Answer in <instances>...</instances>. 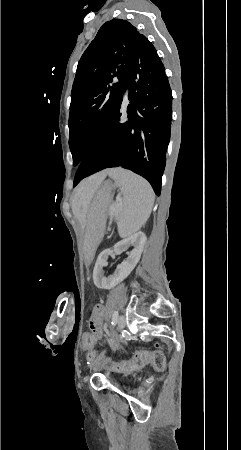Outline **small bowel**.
I'll return each mask as SVG.
<instances>
[{
	"label": "small bowel",
	"mask_w": 241,
	"mask_h": 450,
	"mask_svg": "<svg viewBox=\"0 0 241 450\" xmlns=\"http://www.w3.org/2000/svg\"><path fill=\"white\" fill-rule=\"evenodd\" d=\"M94 309L92 310V316H89L88 318V323L90 325L91 330H95L93 331V333H95L96 335V340L95 342L97 343V339L100 333V330L103 329V310L101 309V305L100 304H95ZM91 352V351H90Z\"/></svg>",
	"instance_id": "1"
}]
</instances>
